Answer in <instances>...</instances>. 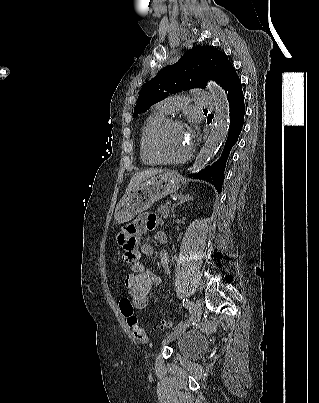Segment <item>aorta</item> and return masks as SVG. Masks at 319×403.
<instances>
[{"label":"aorta","mask_w":319,"mask_h":403,"mask_svg":"<svg viewBox=\"0 0 319 403\" xmlns=\"http://www.w3.org/2000/svg\"><path fill=\"white\" fill-rule=\"evenodd\" d=\"M208 89L215 102V122L210 134L198 153L192 167V174L204 168L212 157L216 154L222 143L225 141L230 124L229 102L225 91L216 83L210 82Z\"/></svg>","instance_id":"aorta-1"}]
</instances>
